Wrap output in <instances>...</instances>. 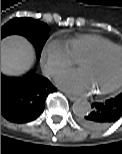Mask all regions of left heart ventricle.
<instances>
[{"label":"left heart ventricle","instance_id":"obj_1","mask_svg":"<svg viewBox=\"0 0 122 154\" xmlns=\"http://www.w3.org/2000/svg\"><path fill=\"white\" fill-rule=\"evenodd\" d=\"M92 91H100L115 83L122 75V52L112 51L98 60L79 61Z\"/></svg>","mask_w":122,"mask_h":154}]
</instances>
